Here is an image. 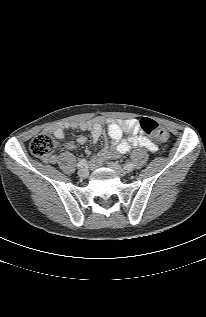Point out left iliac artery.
I'll return each mask as SVG.
<instances>
[{
  "label": "left iliac artery",
  "mask_w": 206,
  "mask_h": 317,
  "mask_svg": "<svg viewBox=\"0 0 206 317\" xmlns=\"http://www.w3.org/2000/svg\"><path fill=\"white\" fill-rule=\"evenodd\" d=\"M133 168H134V164L131 163V162L126 163V164L124 165V169H126V170H128V171L133 170Z\"/></svg>",
  "instance_id": "obj_1"
}]
</instances>
